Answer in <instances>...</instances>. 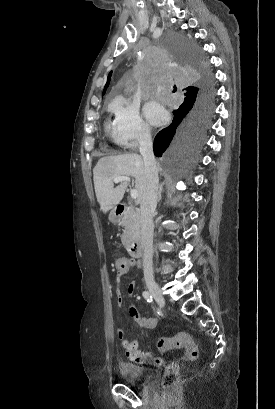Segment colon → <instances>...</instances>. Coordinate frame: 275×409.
I'll return each mask as SVG.
<instances>
[{
  "mask_svg": "<svg viewBox=\"0 0 275 409\" xmlns=\"http://www.w3.org/2000/svg\"><path fill=\"white\" fill-rule=\"evenodd\" d=\"M124 256H116L114 258V263L118 269L119 274H124L127 268V263L125 262ZM158 348L162 353H167L172 349H184L185 358L188 360H195L198 357V348L194 340L185 331H179L172 337L164 338V340H159L157 343ZM179 377V366L177 363H171L167 365L165 373L162 379L164 386L173 385Z\"/></svg>",
  "mask_w": 275,
  "mask_h": 409,
  "instance_id": "5ec220e1",
  "label": "colon"
}]
</instances>
